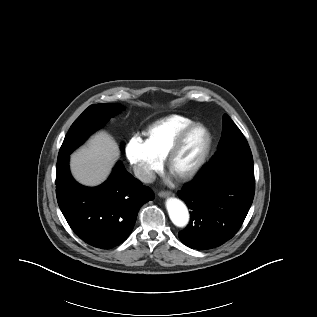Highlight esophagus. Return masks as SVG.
I'll list each match as a JSON object with an SVG mask.
<instances>
[{"label": "esophagus", "instance_id": "1", "mask_svg": "<svg viewBox=\"0 0 317 317\" xmlns=\"http://www.w3.org/2000/svg\"><path fill=\"white\" fill-rule=\"evenodd\" d=\"M171 194H172V193H171L170 191H160V192L158 193L159 197H162V198L171 196Z\"/></svg>", "mask_w": 317, "mask_h": 317}]
</instances>
